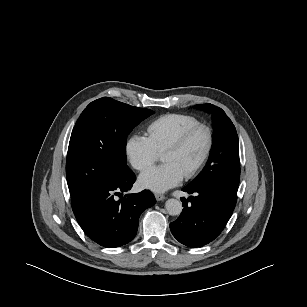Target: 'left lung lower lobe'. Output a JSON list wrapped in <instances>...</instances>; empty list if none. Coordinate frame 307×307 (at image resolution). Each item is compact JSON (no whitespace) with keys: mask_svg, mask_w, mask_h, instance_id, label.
Listing matches in <instances>:
<instances>
[{"mask_svg":"<svg viewBox=\"0 0 307 307\" xmlns=\"http://www.w3.org/2000/svg\"><path fill=\"white\" fill-rule=\"evenodd\" d=\"M190 196L188 201L181 198L183 210L170 223L173 236L188 247H200L213 241L230 219L236 200L212 185H187L182 189Z\"/></svg>","mask_w":307,"mask_h":307,"instance_id":"1","label":"left lung lower lobe"}]
</instances>
